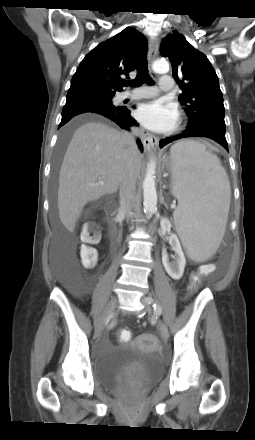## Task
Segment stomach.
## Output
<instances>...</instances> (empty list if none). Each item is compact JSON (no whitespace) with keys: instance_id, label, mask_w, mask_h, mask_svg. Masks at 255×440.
<instances>
[{"instance_id":"1","label":"stomach","mask_w":255,"mask_h":440,"mask_svg":"<svg viewBox=\"0 0 255 440\" xmlns=\"http://www.w3.org/2000/svg\"><path fill=\"white\" fill-rule=\"evenodd\" d=\"M167 165H168V168H169V169L173 170L174 165H173V160H172V158H171V160L167 163Z\"/></svg>"}]
</instances>
